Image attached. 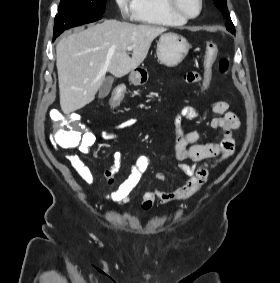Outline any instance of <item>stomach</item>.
<instances>
[{
	"label": "stomach",
	"mask_w": 280,
	"mask_h": 283,
	"mask_svg": "<svg viewBox=\"0 0 280 283\" xmlns=\"http://www.w3.org/2000/svg\"><path fill=\"white\" fill-rule=\"evenodd\" d=\"M189 43L182 35L168 32L160 36L157 42L158 61L167 66L175 67L180 64L189 51ZM146 70L139 69L131 72L129 80L134 85H141L145 82Z\"/></svg>",
	"instance_id": "stomach-1"
}]
</instances>
